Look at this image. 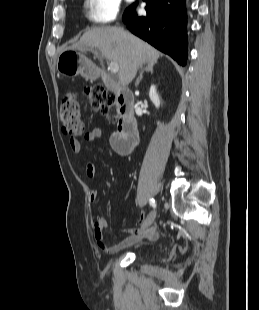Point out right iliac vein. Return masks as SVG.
I'll list each match as a JSON object with an SVG mask.
<instances>
[{
  "mask_svg": "<svg viewBox=\"0 0 259 310\" xmlns=\"http://www.w3.org/2000/svg\"><path fill=\"white\" fill-rule=\"evenodd\" d=\"M156 210L153 209L150 214L148 215V217L146 218L145 222L142 225V229H146L147 227H149L155 220L156 218Z\"/></svg>",
  "mask_w": 259,
  "mask_h": 310,
  "instance_id": "1",
  "label": "right iliac vein"
}]
</instances>
